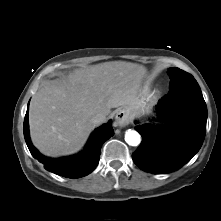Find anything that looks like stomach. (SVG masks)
Returning a JSON list of instances; mask_svg holds the SVG:
<instances>
[{"label": "stomach", "instance_id": "stomach-1", "mask_svg": "<svg viewBox=\"0 0 221 221\" xmlns=\"http://www.w3.org/2000/svg\"><path fill=\"white\" fill-rule=\"evenodd\" d=\"M147 111V108L144 107V106H138L137 108L133 109V110H130L128 111L130 114H135L137 112H145Z\"/></svg>", "mask_w": 221, "mask_h": 221}]
</instances>
